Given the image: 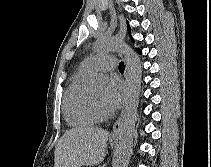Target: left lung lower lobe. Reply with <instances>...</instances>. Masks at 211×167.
I'll list each match as a JSON object with an SVG mask.
<instances>
[{"mask_svg":"<svg viewBox=\"0 0 211 167\" xmlns=\"http://www.w3.org/2000/svg\"><path fill=\"white\" fill-rule=\"evenodd\" d=\"M137 51H138V53H139V54H141V53H142L140 49H137Z\"/></svg>","mask_w":211,"mask_h":167,"instance_id":"0a47b994","label":"left lung lower lobe"}]
</instances>
